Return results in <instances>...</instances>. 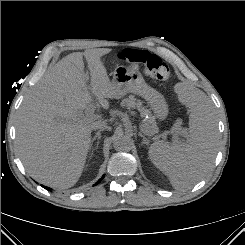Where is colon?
Returning a JSON list of instances; mask_svg holds the SVG:
<instances>
[{
  "instance_id": "1",
  "label": "colon",
  "mask_w": 245,
  "mask_h": 245,
  "mask_svg": "<svg viewBox=\"0 0 245 245\" xmlns=\"http://www.w3.org/2000/svg\"><path fill=\"white\" fill-rule=\"evenodd\" d=\"M119 58L132 67L143 66L148 76L159 81H166L171 75L169 66L159 56L143 50L125 49Z\"/></svg>"
}]
</instances>
